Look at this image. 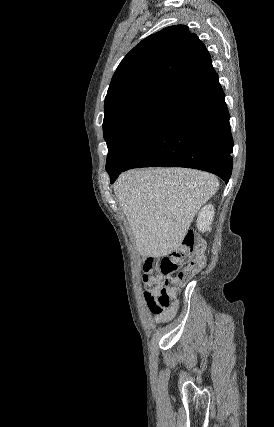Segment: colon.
I'll return each instance as SVG.
<instances>
[{
  "label": "colon",
  "mask_w": 274,
  "mask_h": 427,
  "mask_svg": "<svg viewBox=\"0 0 274 427\" xmlns=\"http://www.w3.org/2000/svg\"><path fill=\"white\" fill-rule=\"evenodd\" d=\"M182 248L162 256H149L142 265L146 276V302L154 315L167 309L180 285L206 264L205 242L196 241L192 232L180 233Z\"/></svg>",
  "instance_id": "colon-1"
}]
</instances>
